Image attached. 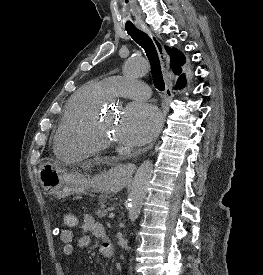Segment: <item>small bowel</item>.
<instances>
[{
	"label": "small bowel",
	"instance_id": "small-bowel-1",
	"mask_svg": "<svg viewBox=\"0 0 263 275\" xmlns=\"http://www.w3.org/2000/svg\"><path fill=\"white\" fill-rule=\"evenodd\" d=\"M81 229L85 233L82 236L76 238V235L71 229H63L59 232L60 240L63 243L62 257L64 260L68 259L78 249H83L89 246L91 243L92 234L95 237L103 240L100 247V253L104 256L106 251L108 240L106 238L105 229L101 223L97 222L91 215L84 216Z\"/></svg>",
	"mask_w": 263,
	"mask_h": 275
}]
</instances>
